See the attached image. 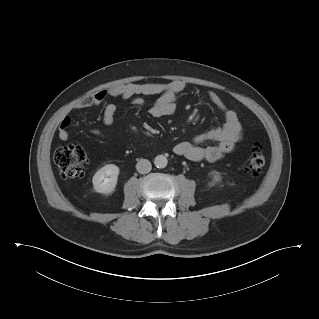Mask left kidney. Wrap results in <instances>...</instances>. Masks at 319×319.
<instances>
[{
  "mask_svg": "<svg viewBox=\"0 0 319 319\" xmlns=\"http://www.w3.org/2000/svg\"><path fill=\"white\" fill-rule=\"evenodd\" d=\"M212 174V176H213V179L215 180V181H220V179H221V177H220V174L218 173V172H212L211 173Z\"/></svg>",
  "mask_w": 319,
  "mask_h": 319,
  "instance_id": "left-kidney-1",
  "label": "left kidney"
}]
</instances>
